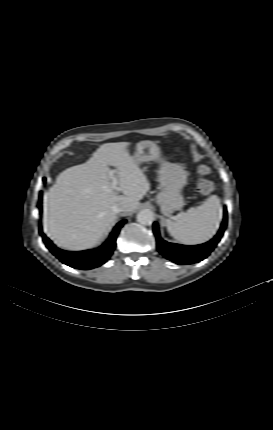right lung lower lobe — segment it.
<instances>
[{"label": "right lung lower lobe", "mask_w": 273, "mask_h": 430, "mask_svg": "<svg viewBox=\"0 0 273 430\" xmlns=\"http://www.w3.org/2000/svg\"><path fill=\"white\" fill-rule=\"evenodd\" d=\"M45 181V178L43 179ZM40 200L42 199V192L39 194ZM38 207L41 211V203ZM126 220L120 221L114 228L110 237L105 241L101 247L95 250H86L80 252H69L57 248L39 229V233L43 238L46 247L64 264L76 269H93L105 263L112 255L116 247V238L120 228L124 225Z\"/></svg>", "instance_id": "right-lung-lower-lobe-1"}]
</instances>
